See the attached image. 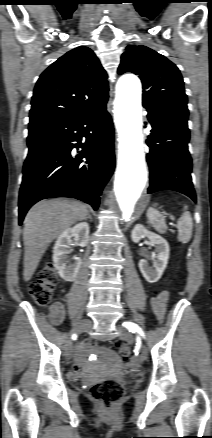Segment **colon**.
<instances>
[{
  "instance_id": "obj_1",
  "label": "colon",
  "mask_w": 212,
  "mask_h": 438,
  "mask_svg": "<svg viewBox=\"0 0 212 438\" xmlns=\"http://www.w3.org/2000/svg\"><path fill=\"white\" fill-rule=\"evenodd\" d=\"M58 283V276L52 264L46 265L39 273L37 279L29 286V294L38 305H47L54 294ZM159 293H156L157 296ZM113 346L119 350L123 357H128L130 348L119 341H114ZM124 393L123 385L116 379H105L90 388L91 397L105 408H111L117 403Z\"/></svg>"
}]
</instances>
